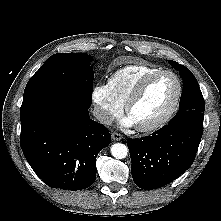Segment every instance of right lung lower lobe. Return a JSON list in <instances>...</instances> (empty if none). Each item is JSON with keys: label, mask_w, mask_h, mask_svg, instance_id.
<instances>
[{"label": "right lung lower lobe", "mask_w": 221, "mask_h": 221, "mask_svg": "<svg viewBox=\"0 0 221 221\" xmlns=\"http://www.w3.org/2000/svg\"><path fill=\"white\" fill-rule=\"evenodd\" d=\"M111 142L88 107L67 98L46 100L21 117L20 144L34 172L52 188L81 190L96 178V157Z\"/></svg>", "instance_id": "obj_1"}]
</instances>
